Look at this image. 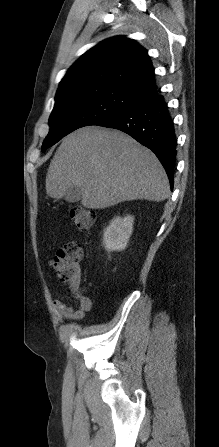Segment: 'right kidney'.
Returning <instances> with one entry per match:
<instances>
[{
    "label": "right kidney",
    "mask_w": 219,
    "mask_h": 447,
    "mask_svg": "<svg viewBox=\"0 0 219 447\" xmlns=\"http://www.w3.org/2000/svg\"><path fill=\"white\" fill-rule=\"evenodd\" d=\"M134 217H116L111 220L103 234V244L107 251H121L127 246L133 231Z\"/></svg>",
    "instance_id": "1"
}]
</instances>
